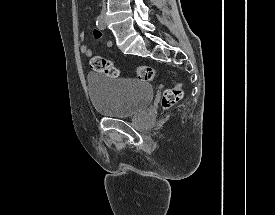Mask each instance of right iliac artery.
Listing matches in <instances>:
<instances>
[{
  "mask_svg": "<svg viewBox=\"0 0 275 215\" xmlns=\"http://www.w3.org/2000/svg\"><path fill=\"white\" fill-rule=\"evenodd\" d=\"M96 26H97L98 28H100L101 30H104V29H105V22H104L102 16H99V17L97 18V20H96Z\"/></svg>",
  "mask_w": 275,
  "mask_h": 215,
  "instance_id": "1",
  "label": "right iliac artery"
}]
</instances>
